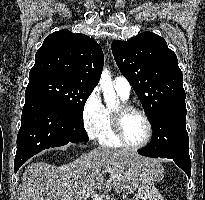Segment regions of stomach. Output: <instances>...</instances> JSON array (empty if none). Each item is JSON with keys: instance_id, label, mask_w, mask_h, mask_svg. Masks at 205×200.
<instances>
[{"instance_id": "obj_1", "label": "stomach", "mask_w": 205, "mask_h": 200, "mask_svg": "<svg viewBox=\"0 0 205 200\" xmlns=\"http://www.w3.org/2000/svg\"><path fill=\"white\" fill-rule=\"evenodd\" d=\"M162 169L161 165L156 166V170L160 171ZM154 179L146 183H141L137 189L134 200H163L162 195L153 185Z\"/></svg>"}]
</instances>
